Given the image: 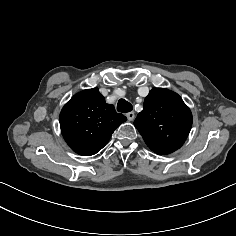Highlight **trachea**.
<instances>
[{
    "label": "trachea",
    "instance_id": "1",
    "mask_svg": "<svg viewBox=\"0 0 236 236\" xmlns=\"http://www.w3.org/2000/svg\"><path fill=\"white\" fill-rule=\"evenodd\" d=\"M133 110V106L131 103L126 101L125 99H120L117 104V111L127 113Z\"/></svg>",
    "mask_w": 236,
    "mask_h": 236
}]
</instances>
